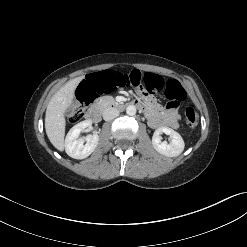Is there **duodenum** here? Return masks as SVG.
<instances>
[{
	"label": "duodenum",
	"mask_w": 247,
	"mask_h": 247,
	"mask_svg": "<svg viewBox=\"0 0 247 247\" xmlns=\"http://www.w3.org/2000/svg\"><path fill=\"white\" fill-rule=\"evenodd\" d=\"M128 106H133L136 107L138 109H142L144 108V105L141 101L139 100H135V101H131L128 103H116L114 105V107L118 110H123ZM87 119L90 120L91 122H98L101 119V110L97 107H94L92 109L89 110V112L87 113Z\"/></svg>",
	"instance_id": "obj_1"
}]
</instances>
